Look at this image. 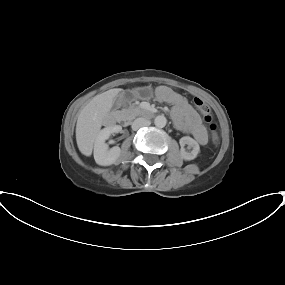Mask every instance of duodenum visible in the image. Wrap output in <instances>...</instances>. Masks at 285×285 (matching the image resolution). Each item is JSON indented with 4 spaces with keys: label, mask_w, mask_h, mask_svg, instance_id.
I'll return each mask as SVG.
<instances>
[{
    "label": "duodenum",
    "mask_w": 285,
    "mask_h": 285,
    "mask_svg": "<svg viewBox=\"0 0 285 285\" xmlns=\"http://www.w3.org/2000/svg\"><path fill=\"white\" fill-rule=\"evenodd\" d=\"M138 113L143 117H152L155 115L156 110L153 108H141L138 110ZM121 121V119H119Z\"/></svg>",
    "instance_id": "duodenum-1"
}]
</instances>
